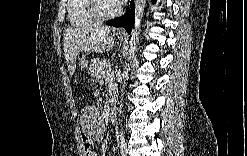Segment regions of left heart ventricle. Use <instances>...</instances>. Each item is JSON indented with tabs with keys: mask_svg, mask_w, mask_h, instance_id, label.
Segmentation results:
<instances>
[{
	"mask_svg": "<svg viewBox=\"0 0 247 156\" xmlns=\"http://www.w3.org/2000/svg\"><path fill=\"white\" fill-rule=\"evenodd\" d=\"M115 5L116 4L113 1H101L100 11L104 14L110 13L111 11H113Z\"/></svg>",
	"mask_w": 247,
	"mask_h": 156,
	"instance_id": "obj_1",
	"label": "left heart ventricle"
}]
</instances>
